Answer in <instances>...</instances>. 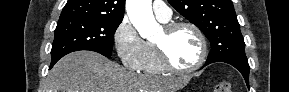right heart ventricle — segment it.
I'll list each match as a JSON object with an SVG mask.
<instances>
[{
    "mask_svg": "<svg viewBox=\"0 0 289 92\" xmlns=\"http://www.w3.org/2000/svg\"><path fill=\"white\" fill-rule=\"evenodd\" d=\"M147 46H148V55L142 68V71L150 74L162 73L164 69L159 62L153 43L147 42Z\"/></svg>",
    "mask_w": 289,
    "mask_h": 92,
    "instance_id": "e07e8e85",
    "label": "right heart ventricle"
}]
</instances>
